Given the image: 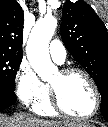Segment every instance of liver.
<instances>
[{
  "mask_svg": "<svg viewBox=\"0 0 108 127\" xmlns=\"http://www.w3.org/2000/svg\"><path fill=\"white\" fill-rule=\"evenodd\" d=\"M91 125L86 121H52L37 118L26 113L12 116L0 114V127H84Z\"/></svg>",
  "mask_w": 108,
  "mask_h": 127,
  "instance_id": "obj_1",
  "label": "liver"
}]
</instances>
